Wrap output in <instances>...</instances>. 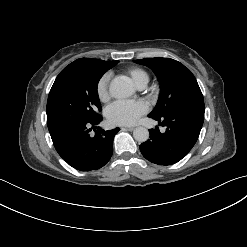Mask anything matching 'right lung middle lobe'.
<instances>
[{
    "mask_svg": "<svg viewBox=\"0 0 247 247\" xmlns=\"http://www.w3.org/2000/svg\"><path fill=\"white\" fill-rule=\"evenodd\" d=\"M118 61L87 69L61 71L57 76L47 101V126L67 120H93L101 110L97 85L103 74Z\"/></svg>",
    "mask_w": 247,
    "mask_h": 247,
    "instance_id": "1",
    "label": "right lung middle lobe"
}]
</instances>
